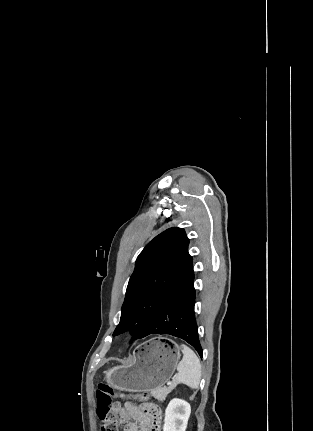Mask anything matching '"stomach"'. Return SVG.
Listing matches in <instances>:
<instances>
[{"label": "stomach", "instance_id": "obj_1", "mask_svg": "<svg viewBox=\"0 0 313 431\" xmlns=\"http://www.w3.org/2000/svg\"><path fill=\"white\" fill-rule=\"evenodd\" d=\"M180 358V348L165 337L152 338L135 349L129 363L108 369L106 382L127 392L151 391L172 377Z\"/></svg>", "mask_w": 313, "mask_h": 431}]
</instances>
